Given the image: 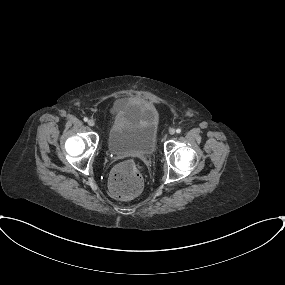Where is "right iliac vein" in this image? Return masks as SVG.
Listing matches in <instances>:
<instances>
[{"mask_svg":"<svg viewBox=\"0 0 285 285\" xmlns=\"http://www.w3.org/2000/svg\"><path fill=\"white\" fill-rule=\"evenodd\" d=\"M88 125H89L90 127L95 126V121H94L93 119H90V120L88 121Z\"/></svg>","mask_w":285,"mask_h":285,"instance_id":"obj_1","label":"right iliac vein"}]
</instances>
